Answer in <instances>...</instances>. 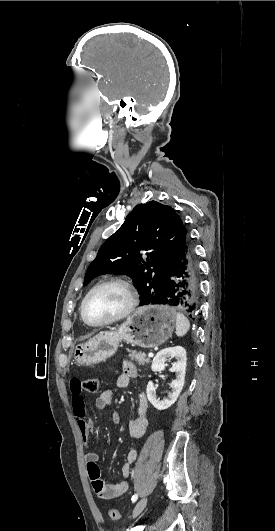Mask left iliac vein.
I'll list each match as a JSON object with an SVG mask.
<instances>
[{
    "instance_id": "4c4485c4",
    "label": "left iliac vein",
    "mask_w": 275,
    "mask_h": 531,
    "mask_svg": "<svg viewBox=\"0 0 275 531\" xmlns=\"http://www.w3.org/2000/svg\"><path fill=\"white\" fill-rule=\"evenodd\" d=\"M147 497L141 498L133 509V517H137L147 505Z\"/></svg>"
}]
</instances>
